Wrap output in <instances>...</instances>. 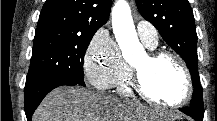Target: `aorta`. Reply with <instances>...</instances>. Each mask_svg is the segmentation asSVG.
I'll return each instance as SVG.
<instances>
[{
  "label": "aorta",
  "instance_id": "obj_1",
  "mask_svg": "<svg viewBox=\"0 0 217 121\" xmlns=\"http://www.w3.org/2000/svg\"><path fill=\"white\" fill-rule=\"evenodd\" d=\"M115 38L125 60L130 61L142 50L133 24L131 9L126 0H118L112 9Z\"/></svg>",
  "mask_w": 217,
  "mask_h": 121
}]
</instances>
